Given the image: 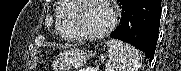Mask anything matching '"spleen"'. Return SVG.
<instances>
[{
  "label": "spleen",
  "instance_id": "3e777b00",
  "mask_svg": "<svg viewBox=\"0 0 181 71\" xmlns=\"http://www.w3.org/2000/svg\"><path fill=\"white\" fill-rule=\"evenodd\" d=\"M106 45L109 55L105 71H138L140 56L133 46L115 39L108 40Z\"/></svg>",
  "mask_w": 181,
  "mask_h": 71
}]
</instances>
